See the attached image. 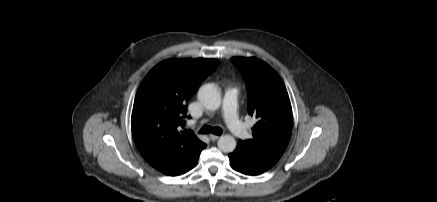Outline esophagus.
<instances>
[{
	"label": "esophagus",
	"mask_w": 437,
	"mask_h": 202,
	"mask_svg": "<svg viewBox=\"0 0 437 202\" xmlns=\"http://www.w3.org/2000/svg\"><path fill=\"white\" fill-rule=\"evenodd\" d=\"M209 137H210V139H211L212 141H216V140L219 139L220 136H218V135H214V134H211Z\"/></svg>",
	"instance_id": "1"
}]
</instances>
